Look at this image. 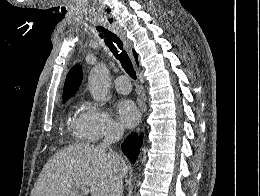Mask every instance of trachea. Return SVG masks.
<instances>
[{"mask_svg": "<svg viewBox=\"0 0 260 196\" xmlns=\"http://www.w3.org/2000/svg\"><path fill=\"white\" fill-rule=\"evenodd\" d=\"M105 33L107 35V38L105 39L106 46L110 49L115 58L120 61L126 73H128L133 80H136V72L128 53L123 49V42L117 35H115V33Z\"/></svg>", "mask_w": 260, "mask_h": 196, "instance_id": "3493384b", "label": "trachea"}]
</instances>
